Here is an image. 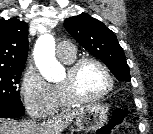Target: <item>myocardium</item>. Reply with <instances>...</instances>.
I'll return each instance as SVG.
<instances>
[{"label": "myocardium", "mask_w": 153, "mask_h": 134, "mask_svg": "<svg viewBox=\"0 0 153 134\" xmlns=\"http://www.w3.org/2000/svg\"><path fill=\"white\" fill-rule=\"evenodd\" d=\"M88 63H93L97 65L106 75L108 80V86L107 88L100 94L94 95V96H84L81 95L77 88H76V78L79 70ZM114 77L109 70V68L98 58L95 57H82L77 60H74L71 64H69L67 68V78L59 83V87L65 97V99L70 104H78V103H89V102H95L98 100L103 99L108 94L111 93V91L114 88Z\"/></svg>", "instance_id": "myocardium-1"}]
</instances>
